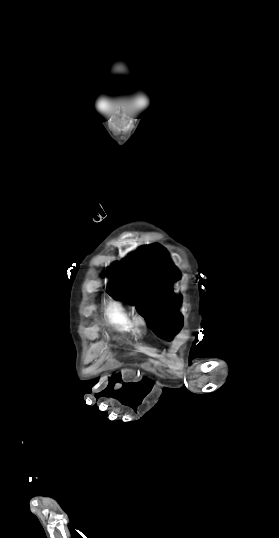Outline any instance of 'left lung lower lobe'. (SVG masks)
<instances>
[{
	"mask_svg": "<svg viewBox=\"0 0 279 538\" xmlns=\"http://www.w3.org/2000/svg\"><path fill=\"white\" fill-rule=\"evenodd\" d=\"M166 339L171 340L172 335L165 336Z\"/></svg>",
	"mask_w": 279,
	"mask_h": 538,
	"instance_id": "left-lung-lower-lobe-1",
	"label": "left lung lower lobe"
}]
</instances>
